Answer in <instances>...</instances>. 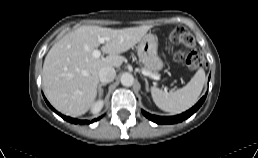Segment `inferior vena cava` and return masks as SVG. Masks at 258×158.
Wrapping results in <instances>:
<instances>
[{
	"instance_id": "obj_1",
	"label": "inferior vena cava",
	"mask_w": 258,
	"mask_h": 158,
	"mask_svg": "<svg viewBox=\"0 0 258 158\" xmlns=\"http://www.w3.org/2000/svg\"><path fill=\"white\" fill-rule=\"evenodd\" d=\"M98 76H99V80L102 83H109L114 80L116 76V72L113 67H104L99 71Z\"/></svg>"
}]
</instances>
